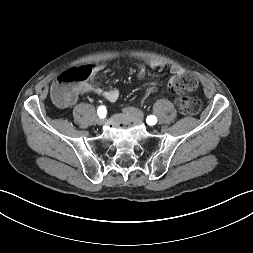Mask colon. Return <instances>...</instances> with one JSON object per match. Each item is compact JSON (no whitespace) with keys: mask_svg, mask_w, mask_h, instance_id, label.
Returning <instances> with one entry per match:
<instances>
[{"mask_svg":"<svg viewBox=\"0 0 253 253\" xmlns=\"http://www.w3.org/2000/svg\"><path fill=\"white\" fill-rule=\"evenodd\" d=\"M91 70L86 67L73 68L61 73L57 77L56 83L52 87L53 100L61 105L65 106L72 102L75 97V88L77 84L85 81ZM197 78L191 73H185L172 77L169 86L171 91L177 96V104L179 110L184 115H195L200 112L202 108L201 101L190 93L197 87ZM157 85L154 83L149 86L142 99L147 101L149 96L158 91Z\"/></svg>","mask_w":253,"mask_h":253,"instance_id":"obj_1","label":"colon"}]
</instances>
